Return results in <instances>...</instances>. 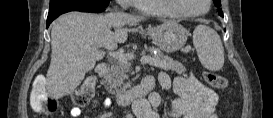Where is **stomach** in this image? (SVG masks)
Segmentation results:
<instances>
[{"instance_id":"0dacf381","label":"stomach","mask_w":273,"mask_h":118,"mask_svg":"<svg viewBox=\"0 0 273 118\" xmlns=\"http://www.w3.org/2000/svg\"><path fill=\"white\" fill-rule=\"evenodd\" d=\"M154 44L162 51L171 53L182 48L188 38V31L182 25L166 21L148 29Z\"/></svg>"}]
</instances>
